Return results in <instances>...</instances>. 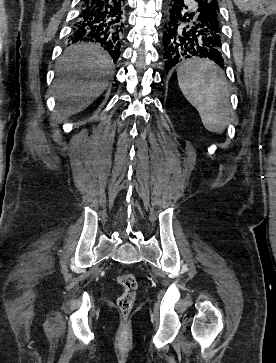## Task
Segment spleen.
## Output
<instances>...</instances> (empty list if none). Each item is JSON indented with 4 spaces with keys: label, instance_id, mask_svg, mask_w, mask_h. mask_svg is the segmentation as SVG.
<instances>
[{
    "label": "spleen",
    "instance_id": "obj_1",
    "mask_svg": "<svg viewBox=\"0 0 276 363\" xmlns=\"http://www.w3.org/2000/svg\"><path fill=\"white\" fill-rule=\"evenodd\" d=\"M179 87L194 106L204 127L222 133L230 114L229 87L224 72L208 59H190L177 70Z\"/></svg>",
    "mask_w": 276,
    "mask_h": 363
}]
</instances>
